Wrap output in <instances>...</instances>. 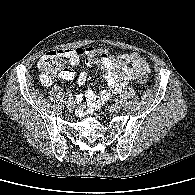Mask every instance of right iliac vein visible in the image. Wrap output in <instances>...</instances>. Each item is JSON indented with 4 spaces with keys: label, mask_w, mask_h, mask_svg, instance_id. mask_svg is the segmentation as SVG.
Listing matches in <instances>:
<instances>
[{
    "label": "right iliac vein",
    "mask_w": 195,
    "mask_h": 195,
    "mask_svg": "<svg viewBox=\"0 0 195 195\" xmlns=\"http://www.w3.org/2000/svg\"><path fill=\"white\" fill-rule=\"evenodd\" d=\"M67 106H68V108H70V109H75L76 104H75V102H73V100H69V101L67 102Z\"/></svg>",
    "instance_id": "1"
}]
</instances>
